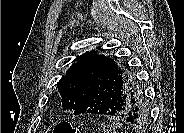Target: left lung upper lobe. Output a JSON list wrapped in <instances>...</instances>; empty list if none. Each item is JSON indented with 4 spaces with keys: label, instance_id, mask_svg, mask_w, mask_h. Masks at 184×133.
<instances>
[{
    "label": "left lung upper lobe",
    "instance_id": "left-lung-upper-lobe-1",
    "mask_svg": "<svg viewBox=\"0 0 184 133\" xmlns=\"http://www.w3.org/2000/svg\"><path fill=\"white\" fill-rule=\"evenodd\" d=\"M100 56L98 51L95 50L78 56L74 60L76 63H73L67 70L66 75L59 80L57 88L62 97L63 109L75 110L88 96L94 84ZM106 59L118 70V73L124 78L126 83L130 82V79L133 80V72L128 65L118 63L110 57H106ZM137 85H139L138 82ZM87 98L88 101L95 100L96 94L90 95ZM130 111L136 115L137 125H142L146 122L149 116V108L144 94L138 97L137 104Z\"/></svg>",
    "mask_w": 184,
    "mask_h": 133
}]
</instances>
